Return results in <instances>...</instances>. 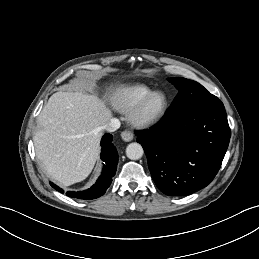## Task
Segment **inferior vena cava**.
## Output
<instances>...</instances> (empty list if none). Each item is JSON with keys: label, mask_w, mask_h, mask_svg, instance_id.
<instances>
[{"label": "inferior vena cava", "mask_w": 259, "mask_h": 259, "mask_svg": "<svg viewBox=\"0 0 259 259\" xmlns=\"http://www.w3.org/2000/svg\"><path fill=\"white\" fill-rule=\"evenodd\" d=\"M120 127V122L115 119L111 118L107 123L102 125V130L107 131V132H114Z\"/></svg>", "instance_id": "1"}]
</instances>
